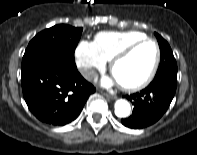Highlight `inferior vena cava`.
<instances>
[{
	"instance_id": "1",
	"label": "inferior vena cava",
	"mask_w": 197,
	"mask_h": 155,
	"mask_svg": "<svg viewBox=\"0 0 197 155\" xmlns=\"http://www.w3.org/2000/svg\"><path fill=\"white\" fill-rule=\"evenodd\" d=\"M80 73L87 79H91L95 76V70L89 67L81 68Z\"/></svg>"
}]
</instances>
